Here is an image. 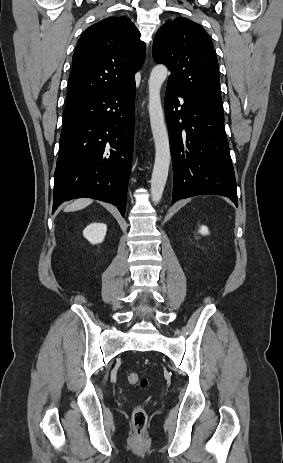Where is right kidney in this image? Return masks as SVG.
<instances>
[{"instance_id":"1","label":"right kidney","mask_w":283,"mask_h":463,"mask_svg":"<svg viewBox=\"0 0 283 463\" xmlns=\"http://www.w3.org/2000/svg\"><path fill=\"white\" fill-rule=\"evenodd\" d=\"M107 232V226L104 223H91L84 231L83 236L92 244L101 243Z\"/></svg>"}]
</instances>
